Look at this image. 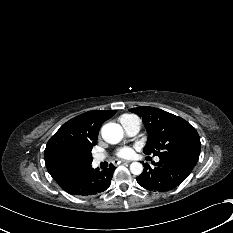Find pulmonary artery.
Here are the masks:
<instances>
[{
	"instance_id": "pulmonary-artery-1",
	"label": "pulmonary artery",
	"mask_w": 233,
	"mask_h": 233,
	"mask_svg": "<svg viewBox=\"0 0 233 233\" xmlns=\"http://www.w3.org/2000/svg\"><path fill=\"white\" fill-rule=\"evenodd\" d=\"M120 123L128 136H135L140 131L141 128V122L139 118H137L136 116L124 118L121 120ZM104 159H105V155L97 154L93 158V163L97 165L100 162H102ZM155 161L158 162L159 158H155Z\"/></svg>"
}]
</instances>
